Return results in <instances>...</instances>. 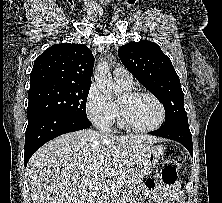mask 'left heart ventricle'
<instances>
[{"label": "left heart ventricle", "instance_id": "1", "mask_svg": "<svg viewBox=\"0 0 222 203\" xmlns=\"http://www.w3.org/2000/svg\"><path fill=\"white\" fill-rule=\"evenodd\" d=\"M118 104L124 109L129 119L139 127H149L160 119V109L149 97L141 96L128 99L122 95Z\"/></svg>", "mask_w": 222, "mask_h": 203}]
</instances>
